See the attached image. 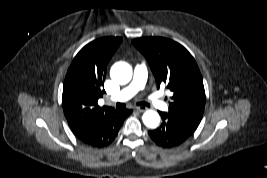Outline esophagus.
I'll list each match as a JSON object with an SVG mask.
<instances>
[{
    "label": "esophagus",
    "instance_id": "esophagus-1",
    "mask_svg": "<svg viewBox=\"0 0 267 178\" xmlns=\"http://www.w3.org/2000/svg\"><path fill=\"white\" fill-rule=\"evenodd\" d=\"M135 109H136V111H138V112H144V111L147 110L146 107H141V106H138V107H136Z\"/></svg>",
    "mask_w": 267,
    "mask_h": 178
}]
</instances>
